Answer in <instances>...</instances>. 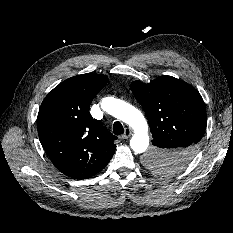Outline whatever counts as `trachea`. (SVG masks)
Masks as SVG:
<instances>
[{"mask_svg":"<svg viewBox=\"0 0 233 233\" xmlns=\"http://www.w3.org/2000/svg\"><path fill=\"white\" fill-rule=\"evenodd\" d=\"M113 133L115 135H121L124 133L122 124L119 121L114 122L113 124Z\"/></svg>","mask_w":233,"mask_h":233,"instance_id":"1","label":"trachea"}]
</instances>
